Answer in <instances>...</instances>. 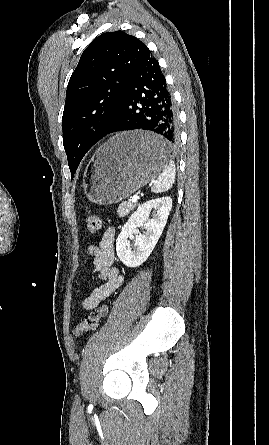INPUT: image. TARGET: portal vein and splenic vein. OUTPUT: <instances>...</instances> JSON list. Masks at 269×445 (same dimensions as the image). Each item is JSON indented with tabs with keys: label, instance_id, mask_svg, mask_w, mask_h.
<instances>
[{
	"label": "portal vein and splenic vein",
	"instance_id": "18ae733b",
	"mask_svg": "<svg viewBox=\"0 0 269 445\" xmlns=\"http://www.w3.org/2000/svg\"><path fill=\"white\" fill-rule=\"evenodd\" d=\"M138 194H139V192H137L136 194H134L132 197H131V201H132V203H136L137 202V200H138Z\"/></svg>",
	"mask_w": 269,
	"mask_h": 445
}]
</instances>
